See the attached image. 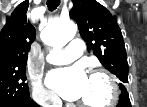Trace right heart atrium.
<instances>
[{
    "mask_svg": "<svg viewBox=\"0 0 147 107\" xmlns=\"http://www.w3.org/2000/svg\"><path fill=\"white\" fill-rule=\"evenodd\" d=\"M32 82V98L41 105L53 106L58 100L54 93L44 87L40 78L35 75Z\"/></svg>",
    "mask_w": 147,
    "mask_h": 107,
    "instance_id": "right-heart-atrium-1",
    "label": "right heart atrium"
}]
</instances>
